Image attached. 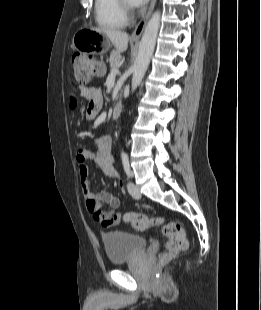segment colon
Returning a JSON list of instances; mask_svg holds the SVG:
<instances>
[{"instance_id": "obj_1", "label": "colon", "mask_w": 261, "mask_h": 310, "mask_svg": "<svg viewBox=\"0 0 261 310\" xmlns=\"http://www.w3.org/2000/svg\"><path fill=\"white\" fill-rule=\"evenodd\" d=\"M75 80L80 84H87L98 76L102 64L92 57L78 53L72 58ZM123 220L137 230L157 227L166 238V252L161 256L160 263L166 264L187 248V239L183 227L176 221H167L160 216H147L129 212L124 214Z\"/></svg>"}]
</instances>
